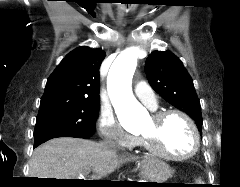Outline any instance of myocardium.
I'll return each instance as SVG.
<instances>
[{
  "instance_id": "f54148a6",
  "label": "myocardium",
  "mask_w": 240,
  "mask_h": 187,
  "mask_svg": "<svg viewBox=\"0 0 240 187\" xmlns=\"http://www.w3.org/2000/svg\"><path fill=\"white\" fill-rule=\"evenodd\" d=\"M170 115H177L181 117L184 120V122L187 124L193 138V145L191 149L187 153L182 155L170 154L165 151L158 150L152 143V139L149 136L141 135V140L143 142L144 149L151 155L161 159L174 160V161H182V160L189 159L198 152L200 147V135H199L198 129L194 121L191 119V117L187 113L179 109H167V110L158 111L152 116V118L154 121L160 122Z\"/></svg>"
}]
</instances>
